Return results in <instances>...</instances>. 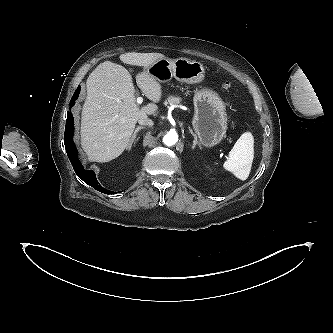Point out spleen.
Segmentation results:
<instances>
[{"instance_id": "spleen-1", "label": "spleen", "mask_w": 333, "mask_h": 333, "mask_svg": "<svg viewBox=\"0 0 333 333\" xmlns=\"http://www.w3.org/2000/svg\"><path fill=\"white\" fill-rule=\"evenodd\" d=\"M253 136L250 132L243 133L229 152L224 162L225 170L244 181L248 178L254 158Z\"/></svg>"}]
</instances>
